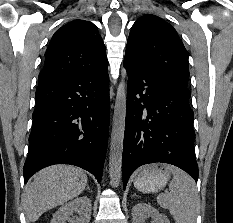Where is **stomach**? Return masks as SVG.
Instances as JSON below:
<instances>
[{"mask_svg": "<svg viewBox=\"0 0 233 223\" xmlns=\"http://www.w3.org/2000/svg\"><path fill=\"white\" fill-rule=\"evenodd\" d=\"M170 165L165 163H152L146 165L134 179V185L142 193H156L165 187L171 177Z\"/></svg>", "mask_w": 233, "mask_h": 223, "instance_id": "obj_1", "label": "stomach"}]
</instances>
